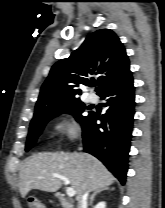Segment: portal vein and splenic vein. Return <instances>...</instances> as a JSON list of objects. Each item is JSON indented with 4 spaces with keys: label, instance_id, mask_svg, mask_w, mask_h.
I'll list each match as a JSON object with an SVG mask.
<instances>
[{
    "label": "portal vein and splenic vein",
    "instance_id": "1",
    "mask_svg": "<svg viewBox=\"0 0 165 208\" xmlns=\"http://www.w3.org/2000/svg\"><path fill=\"white\" fill-rule=\"evenodd\" d=\"M51 176L54 177V178L61 179L66 185L70 184V180L67 177L63 176V175L53 173V174H51ZM66 193L69 197H73L76 194L73 187H67Z\"/></svg>",
    "mask_w": 165,
    "mask_h": 208
}]
</instances>
